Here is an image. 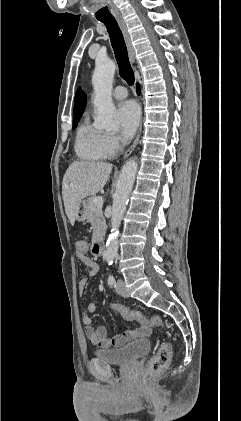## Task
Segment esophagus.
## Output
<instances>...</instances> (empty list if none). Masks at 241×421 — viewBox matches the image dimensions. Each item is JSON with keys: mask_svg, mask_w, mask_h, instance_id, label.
Wrapping results in <instances>:
<instances>
[{"mask_svg": "<svg viewBox=\"0 0 241 421\" xmlns=\"http://www.w3.org/2000/svg\"><path fill=\"white\" fill-rule=\"evenodd\" d=\"M117 22L118 25L122 31L126 46H127V50H128V56H129V60L131 62V64L135 63V54H134V49L131 43V38H130V34L128 32L127 26L125 21L122 19V17H117ZM141 131H142V123L139 126L137 135L132 143V145L130 146V148L126 151V153L124 154L123 158L126 159L136 148L140 135H141Z\"/></svg>", "mask_w": 241, "mask_h": 421, "instance_id": "obj_1", "label": "esophagus"}]
</instances>
